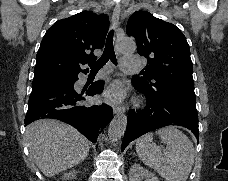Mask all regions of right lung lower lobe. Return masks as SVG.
<instances>
[{
  "mask_svg": "<svg viewBox=\"0 0 228 181\" xmlns=\"http://www.w3.org/2000/svg\"><path fill=\"white\" fill-rule=\"evenodd\" d=\"M77 80L78 74L33 81L25 125L41 118L59 119L95 143L99 130L102 131L112 120L113 110L106 104L86 103L87 96L102 93L103 81L79 88L74 86Z\"/></svg>",
  "mask_w": 228,
  "mask_h": 181,
  "instance_id": "right-lung-lower-lobe-1",
  "label": "right lung lower lobe"
}]
</instances>
